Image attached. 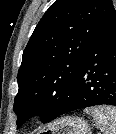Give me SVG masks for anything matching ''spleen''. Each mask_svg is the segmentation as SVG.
I'll use <instances>...</instances> for the list:
<instances>
[{"label": "spleen", "mask_w": 116, "mask_h": 134, "mask_svg": "<svg viewBox=\"0 0 116 134\" xmlns=\"http://www.w3.org/2000/svg\"><path fill=\"white\" fill-rule=\"evenodd\" d=\"M85 112L93 117L96 125L104 134H116V108L111 106H96L86 108Z\"/></svg>", "instance_id": "spleen-1"}]
</instances>
